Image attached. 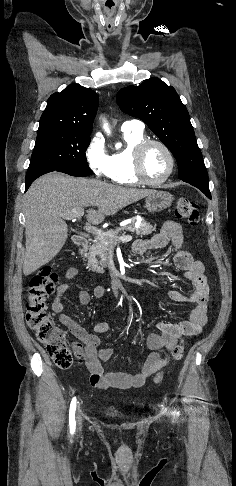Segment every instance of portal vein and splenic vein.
Wrapping results in <instances>:
<instances>
[{
    "label": "portal vein and splenic vein",
    "mask_w": 236,
    "mask_h": 486,
    "mask_svg": "<svg viewBox=\"0 0 236 486\" xmlns=\"http://www.w3.org/2000/svg\"><path fill=\"white\" fill-rule=\"evenodd\" d=\"M83 215H84V209L83 208H80V209H74L71 212L65 213V214L62 215V217L64 219H67V220H71V219L80 220ZM84 229L88 233L94 234L97 237H102L105 234L104 231H102V230H100V229H98V228H96L94 226H90V225L84 227ZM114 239L116 241H120V242H129V241L132 240V236L131 235H123V236H120V237H116L115 236Z\"/></svg>",
    "instance_id": "1"
}]
</instances>
